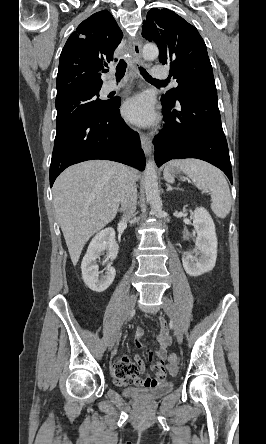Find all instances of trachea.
Here are the masks:
<instances>
[{
  "mask_svg": "<svg viewBox=\"0 0 266 444\" xmlns=\"http://www.w3.org/2000/svg\"><path fill=\"white\" fill-rule=\"evenodd\" d=\"M126 67H127L126 62L124 60H120L116 66V78L117 79H121L125 75ZM139 71H140V74L143 76V78L148 82L166 84V81L157 80V79L152 78V76L149 75V73L142 67H139Z\"/></svg>",
  "mask_w": 266,
  "mask_h": 444,
  "instance_id": "1",
  "label": "trachea"
}]
</instances>
